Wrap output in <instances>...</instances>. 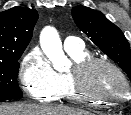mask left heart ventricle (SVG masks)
I'll return each instance as SVG.
<instances>
[{"label": "left heart ventricle", "instance_id": "left-heart-ventricle-1", "mask_svg": "<svg viewBox=\"0 0 131 115\" xmlns=\"http://www.w3.org/2000/svg\"><path fill=\"white\" fill-rule=\"evenodd\" d=\"M89 89L107 98L115 99L126 95L121 78L110 68L96 66L88 76Z\"/></svg>", "mask_w": 131, "mask_h": 115}]
</instances>
